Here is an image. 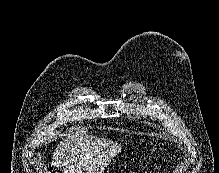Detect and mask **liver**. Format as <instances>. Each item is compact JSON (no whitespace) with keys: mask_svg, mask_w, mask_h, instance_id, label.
<instances>
[{"mask_svg":"<svg viewBox=\"0 0 219 173\" xmlns=\"http://www.w3.org/2000/svg\"><path fill=\"white\" fill-rule=\"evenodd\" d=\"M120 150L112 141L76 133L60 142L51 165L62 168L63 173H102Z\"/></svg>","mask_w":219,"mask_h":173,"instance_id":"obj_1","label":"liver"}]
</instances>
